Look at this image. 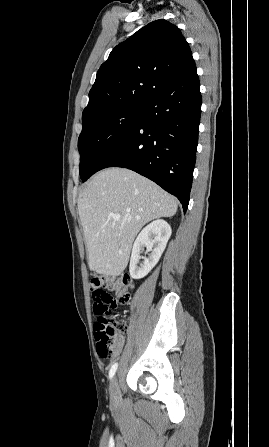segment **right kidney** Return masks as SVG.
I'll use <instances>...</instances> for the list:
<instances>
[{"label":"right kidney","instance_id":"right-kidney-1","mask_svg":"<svg viewBox=\"0 0 269 447\" xmlns=\"http://www.w3.org/2000/svg\"><path fill=\"white\" fill-rule=\"evenodd\" d=\"M170 235L171 227L165 220H155V222L143 227L133 243L129 265L131 277L141 279L151 271L152 267L159 261ZM144 247H147V251H151V253L148 257H143L144 261L139 267L137 263L141 259L140 253Z\"/></svg>","mask_w":269,"mask_h":447}]
</instances>
